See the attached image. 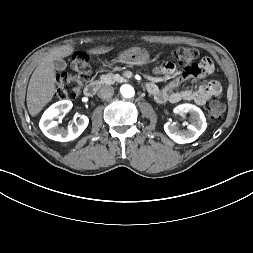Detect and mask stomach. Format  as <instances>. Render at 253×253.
Instances as JSON below:
<instances>
[{
    "label": "stomach",
    "mask_w": 253,
    "mask_h": 253,
    "mask_svg": "<svg viewBox=\"0 0 253 253\" xmlns=\"http://www.w3.org/2000/svg\"><path fill=\"white\" fill-rule=\"evenodd\" d=\"M149 53L140 47H133L118 54L117 60L120 63L129 65H144L149 62Z\"/></svg>",
    "instance_id": "stomach-1"
}]
</instances>
